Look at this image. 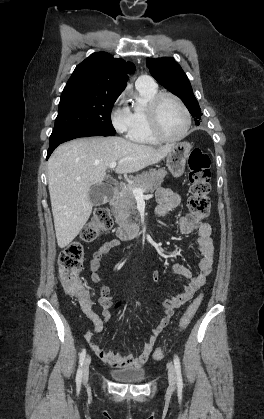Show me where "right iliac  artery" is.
<instances>
[{"label": "right iliac artery", "instance_id": "right-iliac-artery-1", "mask_svg": "<svg viewBox=\"0 0 264 419\" xmlns=\"http://www.w3.org/2000/svg\"><path fill=\"white\" fill-rule=\"evenodd\" d=\"M85 355H86V350L84 349L80 353V356H79V368H78L77 375H76V383L78 385H80L81 380H82V366H83V362H84V359H85Z\"/></svg>", "mask_w": 264, "mask_h": 419}]
</instances>
